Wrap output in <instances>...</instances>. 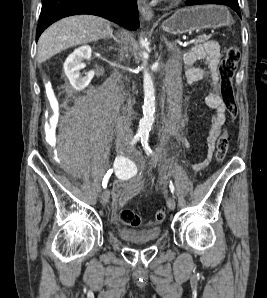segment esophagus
<instances>
[{
    "label": "esophagus",
    "instance_id": "esophagus-1",
    "mask_svg": "<svg viewBox=\"0 0 267 298\" xmlns=\"http://www.w3.org/2000/svg\"><path fill=\"white\" fill-rule=\"evenodd\" d=\"M138 9L144 20L150 21L153 17V11L146 0H137Z\"/></svg>",
    "mask_w": 267,
    "mask_h": 298
}]
</instances>
